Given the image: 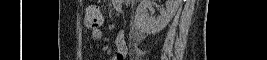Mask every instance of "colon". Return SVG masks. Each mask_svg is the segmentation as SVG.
Returning <instances> with one entry per match:
<instances>
[{
	"label": "colon",
	"mask_w": 267,
	"mask_h": 60,
	"mask_svg": "<svg viewBox=\"0 0 267 60\" xmlns=\"http://www.w3.org/2000/svg\"><path fill=\"white\" fill-rule=\"evenodd\" d=\"M84 21L85 25L90 29L99 27L102 23L100 9L96 6L88 7L85 11Z\"/></svg>",
	"instance_id": "1"
}]
</instances>
